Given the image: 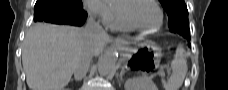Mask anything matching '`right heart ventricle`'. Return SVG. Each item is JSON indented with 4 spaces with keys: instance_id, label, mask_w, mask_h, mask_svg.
<instances>
[{
    "instance_id": "right-heart-ventricle-1",
    "label": "right heart ventricle",
    "mask_w": 228,
    "mask_h": 90,
    "mask_svg": "<svg viewBox=\"0 0 228 90\" xmlns=\"http://www.w3.org/2000/svg\"><path fill=\"white\" fill-rule=\"evenodd\" d=\"M124 2V0H116L111 1L112 8H113V16L108 23V27L117 30V31H128L130 30L128 27H126L123 22L121 21L119 17V6Z\"/></svg>"
}]
</instances>
